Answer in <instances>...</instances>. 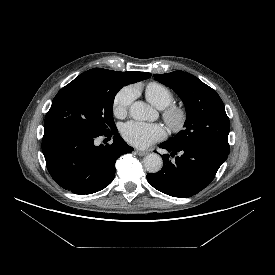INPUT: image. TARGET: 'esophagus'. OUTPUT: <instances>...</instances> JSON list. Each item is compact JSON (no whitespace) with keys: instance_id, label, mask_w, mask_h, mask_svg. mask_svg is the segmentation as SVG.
I'll return each instance as SVG.
<instances>
[{"instance_id":"obj_1","label":"esophagus","mask_w":275,"mask_h":275,"mask_svg":"<svg viewBox=\"0 0 275 275\" xmlns=\"http://www.w3.org/2000/svg\"><path fill=\"white\" fill-rule=\"evenodd\" d=\"M135 152H136V154L139 155V156H145V155L147 154V152L141 151V150H136Z\"/></svg>"}]
</instances>
